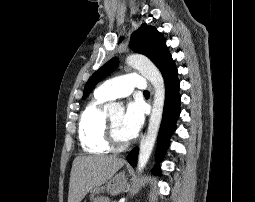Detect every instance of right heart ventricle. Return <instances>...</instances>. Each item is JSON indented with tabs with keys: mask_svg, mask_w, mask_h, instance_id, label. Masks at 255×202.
Instances as JSON below:
<instances>
[{
	"mask_svg": "<svg viewBox=\"0 0 255 202\" xmlns=\"http://www.w3.org/2000/svg\"><path fill=\"white\" fill-rule=\"evenodd\" d=\"M107 100L96 93L84 109L79 122V138L83 149L92 154L109 153L111 148L105 140L106 113L103 104Z\"/></svg>",
	"mask_w": 255,
	"mask_h": 202,
	"instance_id": "e07e8e85",
	"label": "right heart ventricle"
}]
</instances>
